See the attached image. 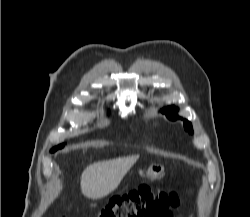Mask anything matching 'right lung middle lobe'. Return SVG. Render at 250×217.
Wrapping results in <instances>:
<instances>
[{"mask_svg":"<svg viewBox=\"0 0 250 217\" xmlns=\"http://www.w3.org/2000/svg\"><path fill=\"white\" fill-rule=\"evenodd\" d=\"M63 147H64V144H60V145H58L57 147L53 148V149L51 150V152H55L57 149H61V148H63Z\"/></svg>","mask_w":250,"mask_h":217,"instance_id":"right-lung-middle-lobe-1","label":"right lung middle lobe"}]
</instances>
